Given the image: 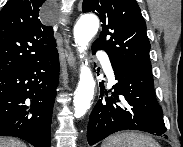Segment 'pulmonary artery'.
<instances>
[{
	"instance_id": "e3ab8cb5",
	"label": "pulmonary artery",
	"mask_w": 183,
	"mask_h": 147,
	"mask_svg": "<svg viewBox=\"0 0 183 147\" xmlns=\"http://www.w3.org/2000/svg\"><path fill=\"white\" fill-rule=\"evenodd\" d=\"M102 55H103L102 53L99 54V56H102ZM103 68L106 71L107 75L110 78H113V69H112V66H111V63H110L109 59L104 60Z\"/></svg>"
}]
</instances>
